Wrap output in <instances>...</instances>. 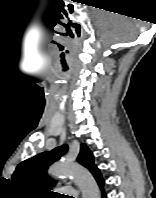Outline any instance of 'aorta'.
<instances>
[{
  "mask_svg": "<svg viewBox=\"0 0 156 198\" xmlns=\"http://www.w3.org/2000/svg\"><path fill=\"white\" fill-rule=\"evenodd\" d=\"M48 173L52 176H69L78 185L82 198H100L98 185L92 174L84 167L65 162L52 165Z\"/></svg>",
  "mask_w": 156,
  "mask_h": 198,
  "instance_id": "1",
  "label": "aorta"
}]
</instances>
